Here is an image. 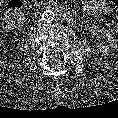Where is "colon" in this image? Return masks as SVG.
<instances>
[{"instance_id":"colon-1","label":"colon","mask_w":118,"mask_h":118,"mask_svg":"<svg viewBox=\"0 0 118 118\" xmlns=\"http://www.w3.org/2000/svg\"><path fill=\"white\" fill-rule=\"evenodd\" d=\"M22 18V5L18 0H13L7 7L4 15V24L6 27H16Z\"/></svg>"}]
</instances>
